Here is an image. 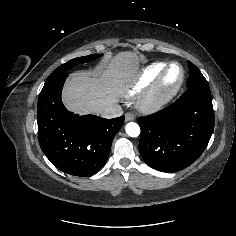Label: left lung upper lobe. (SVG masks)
I'll list each match as a JSON object with an SVG mask.
<instances>
[{
  "mask_svg": "<svg viewBox=\"0 0 236 236\" xmlns=\"http://www.w3.org/2000/svg\"><path fill=\"white\" fill-rule=\"evenodd\" d=\"M189 66V79L187 82V89L197 87V86H206L208 85L207 80L202 75L200 70L190 61H188Z\"/></svg>",
  "mask_w": 236,
  "mask_h": 236,
  "instance_id": "obj_1",
  "label": "left lung upper lobe"
}]
</instances>
